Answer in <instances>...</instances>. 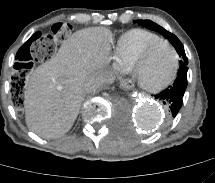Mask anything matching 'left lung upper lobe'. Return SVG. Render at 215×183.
Returning <instances> with one entry per match:
<instances>
[{"label": "left lung upper lobe", "mask_w": 215, "mask_h": 183, "mask_svg": "<svg viewBox=\"0 0 215 183\" xmlns=\"http://www.w3.org/2000/svg\"><path fill=\"white\" fill-rule=\"evenodd\" d=\"M144 27H147L151 30L157 31L159 32L162 36H164L166 39H168L172 45L175 47L176 51L178 52L181 61H180V66L182 65H187V57L184 51V47L182 45V43L180 42V40L173 35L172 33L168 32L167 30H165L164 28H162L161 26L157 25L156 23L150 21V20H138V21H134Z\"/></svg>", "instance_id": "left-lung-upper-lobe-1"}]
</instances>
